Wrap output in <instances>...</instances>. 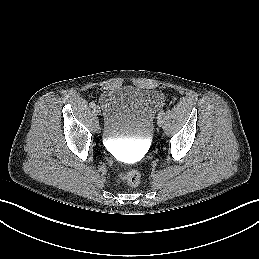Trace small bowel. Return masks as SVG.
<instances>
[{
  "mask_svg": "<svg viewBox=\"0 0 259 259\" xmlns=\"http://www.w3.org/2000/svg\"><path fill=\"white\" fill-rule=\"evenodd\" d=\"M160 99H161V104H162V97L160 96ZM161 104H160V106H161Z\"/></svg>",
  "mask_w": 259,
  "mask_h": 259,
  "instance_id": "1",
  "label": "small bowel"
}]
</instances>
